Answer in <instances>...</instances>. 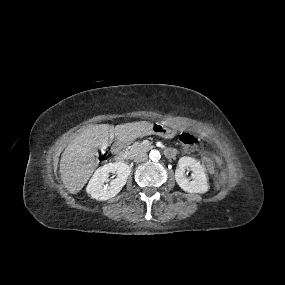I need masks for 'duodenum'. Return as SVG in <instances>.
<instances>
[{
    "mask_svg": "<svg viewBox=\"0 0 285 285\" xmlns=\"http://www.w3.org/2000/svg\"><path fill=\"white\" fill-rule=\"evenodd\" d=\"M165 156L168 158H174L176 156V151L173 148H167L164 150ZM114 158L117 162H124L127 158L124 152V144L122 142H116L113 147Z\"/></svg>",
    "mask_w": 285,
    "mask_h": 285,
    "instance_id": "duodenum-1",
    "label": "duodenum"
}]
</instances>
